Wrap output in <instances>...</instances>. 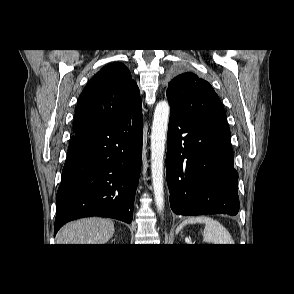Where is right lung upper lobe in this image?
<instances>
[{
    "label": "right lung upper lobe",
    "instance_id": "1",
    "mask_svg": "<svg viewBox=\"0 0 294 294\" xmlns=\"http://www.w3.org/2000/svg\"><path fill=\"white\" fill-rule=\"evenodd\" d=\"M141 104L139 88L119 62L103 67L82 91L74 131L111 122Z\"/></svg>",
    "mask_w": 294,
    "mask_h": 294
}]
</instances>
